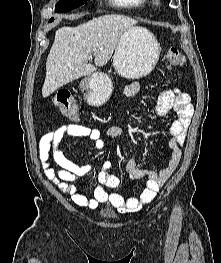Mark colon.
I'll list each match as a JSON object with an SVG mask.
<instances>
[{
	"mask_svg": "<svg viewBox=\"0 0 221 263\" xmlns=\"http://www.w3.org/2000/svg\"><path fill=\"white\" fill-rule=\"evenodd\" d=\"M166 60L169 67H180L185 62L183 54L176 47H171L168 50ZM54 103L66 118L70 120L79 118V107L69 94L58 93L54 98Z\"/></svg>",
	"mask_w": 221,
	"mask_h": 263,
	"instance_id": "1",
	"label": "colon"
}]
</instances>
